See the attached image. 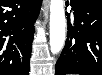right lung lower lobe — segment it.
<instances>
[{
  "label": "right lung lower lobe",
  "mask_w": 102,
  "mask_h": 75,
  "mask_svg": "<svg viewBox=\"0 0 102 75\" xmlns=\"http://www.w3.org/2000/svg\"><path fill=\"white\" fill-rule=\"evenodd\" d=\"M42 0H0V75H28Z\"/></svg>",
  "instance_id": "right-lung-lower-lobe-1"
}]
</instances>
